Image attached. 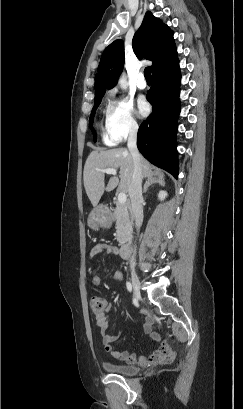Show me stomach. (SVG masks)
I'll return each mask as SVG.
<instances>
[{
    "mask_svg": "<svg viewBox=\"0 0 243 409\" xmlns=\"http://www.w3.org/2000/svg\"><path fill=\"white\" fill-rule=\"evenodd\" d=\"M110 224V213L104 205L95 207L88 216V226L95 231L109 228Z\"/></svg>",
    "mask_w": 243,
    "mask_h": 409,
    "instance_id": "obj_1",
    "label": "stomach"
}]
</instances>
